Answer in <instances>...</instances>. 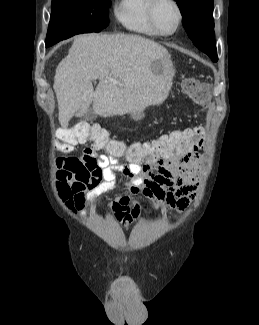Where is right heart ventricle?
Returning <instances> with one entry per match:
<instances>
[{"instance_id": "right-heart-ventricle-1", "label": "right heart ventricle", "mask_w": 259, "mask_h": 325, "mask_svg": "<svg viewBox=\"0 0 259 325\" xmlns=\"http://www.w3.org/2000/svg\"><path fill=\"white\" fill-rule=\"evenodd\" d=\"M149 3L150 0H119L114 9L115 17L130 31L158 36L148 20Z\"/></svg>"}]
</instances>
